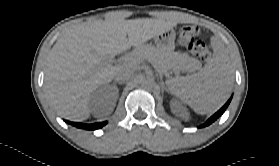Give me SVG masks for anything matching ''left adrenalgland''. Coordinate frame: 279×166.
<instances>
[{"label": "left adrenal gland", "mask_w": 279, "mask_h": 166, "mask_svg": "<svg viewBox=\"0 0 279 166\" xmlns=\"http://www.w3.org/2000/svg\"><path fill=\"white\" fill-rule=\"evenodd\" d=\"M162 86H163V88L166 90V91H168V89L165 87V85H164V82H162Z\"/></svg>", "instance_id": "obj_1"}]
</instances>
